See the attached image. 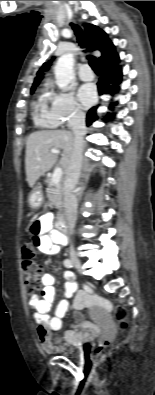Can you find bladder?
I'll return each mask as SVG.
<instances>
[{"mask_svg":"<svg viewBox=\"0 0 155 395\" xmlns=\"http://www.w3.org/2000/svg\"><path fill=\"white\" fill-rule=\"evenodd\" d=\"M60 355L78 360L82 354V351L73 345H62L56 350Z\"/></svg>","mask_w":155,"mask_h":395,"instance_id":"1","label":"bladder"}]
</instances>
